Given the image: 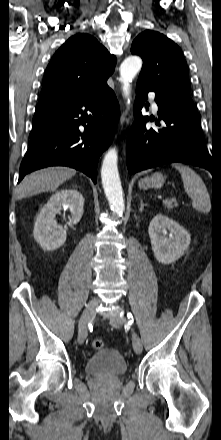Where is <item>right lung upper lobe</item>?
Returning <instances> with one entry per match:
<instances>
[{
    "label": "right lung upper lobe",
    "mask_w": 221,
    "mask_h": 440,
    "mask_svg": "<svg viewBox=\"0 0 221 440\" xmlns=\"http://www.w3.org/2000/svg\"><path fill=\"white\" fill-rule=\"evenodd\" d=\"M115 64V56L93 36L79 33L70 37L47 66L38 104L105 91Z\"/></svg>",
    "instance_id": "obj_1"
}]
</instances>
